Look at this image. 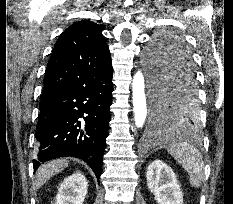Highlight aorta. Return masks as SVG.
<instances>
[{
	"label": "aorta",
	"instance_id": "obj_1",
	"mask_svg": "<svg viewBox=\"0 0 233 204\" xmlns=\"http://www.w3.org/2000/svg\"><path fill=\"white\" fill-rule=\"evenodd\" d=\"M132 99L135 125L142 128L147 118V103L145 95V80L141 71H137L132 81ZM162 111L167 110V106H161Z\"/></svg>",
	"mask_w": 233,
	"mask_h": 204
}]
</instances>
